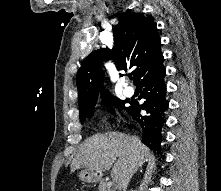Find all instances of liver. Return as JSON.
I'll return each mask as SVG.
<instances>
[{
  "mask_svg": "<svg viewBox=\"0 0 221 191\" xmlns=\"http://www.w3.org/2000/svg\"><path fill=\"white\" fill-rule=\"evenodd\" d=\"M149 155L150 151L145 145L139 140L133 144L127 134H96L86 139L79 147L71 163V172L88 168L102 173L112 168L113 181L120 188L123 180L129 175L134 159L140 166Z\"/></svg>",
  "mask_w": 221,
  "mask_h": 191,
  "instance_id": "liver-1",
  "label": "liver"
}]
</instances>
